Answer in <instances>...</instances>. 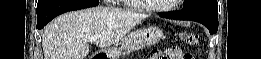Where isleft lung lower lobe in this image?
<instances>
[{
  "mask_svg": "<svg viewBox=\"0 0 261 59\" xmlns=\"http://www.w3.org/2000/svg\"><path fill=\"white\" fill-rule=\"evenodd\" d=\"M162 17L176 20H192L205 25L210 34H214L218 30V10L195 7L187 8L179 12L161 13Z\"/></svg>",
  "mask_w": 261,
  "mask_h": 59,
  "instance_id": "1",
  "label": "left lung lower lobe"
}]
</instances>
